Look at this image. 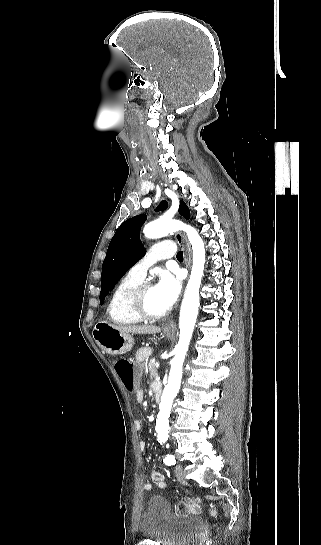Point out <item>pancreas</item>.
I'll return each instance as SVG.
<instances>
[{"mask_svg": "<svg viewBox=\"0 0 321 545\" xmlns=\"http://www.w3.org/2000/svg\"><path fill=\"white\" fill-rule=\"evenodd\" d=\"M148 369H149L151 379H153V377H158V371H157V367L155 363H152V361H150L148 365Z\"/></svg>", "mask_w": 321, "mask_h": 545, "instance_id": "obj_1", "label": "pancreas"}]
</instances>
